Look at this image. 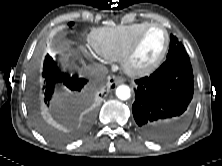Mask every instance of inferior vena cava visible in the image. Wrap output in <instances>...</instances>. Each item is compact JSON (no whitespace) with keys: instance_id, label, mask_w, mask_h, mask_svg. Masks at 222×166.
I'll list each match as a JSON object with an SVG mask.
<instances>
[{"instance_id":"obj_1","label":"inferior vena cava","mask_w":222,"mask_h":166,"mask_svg":"<svg viewBox=\"0 0 222 166\" xmlns=\"http://www.w3.org/2000/svg\"><path fill=\"white\" fill-rule=\"evenodd\" d=\"M107 73V67L101 64L89 65L85 70V75L90 79H94L95 81L103 80Z\"/></svg>"}]
</instances>
